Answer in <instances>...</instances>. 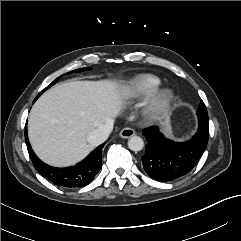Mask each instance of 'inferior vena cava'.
<instances>
[{
	"label": "inferior vena cava",
	"instance_id": "obj_1",
	"mask_svg": "<svg viewBox=\"0 0 241 241\" xmlns=\"http://www.w3.org/2000/svg\"><path fill=\"white\" fill-rule=\"evenodd\" d=\"M112 130H113V121H108L105 124L100 125L94 131H92L88 135L87 140L89 144H91L92 146H98L108 139Z\"/></svg>",
	"mask_w": 241,
	"mask_h": 241
}]
</instances>
